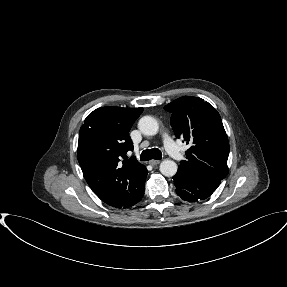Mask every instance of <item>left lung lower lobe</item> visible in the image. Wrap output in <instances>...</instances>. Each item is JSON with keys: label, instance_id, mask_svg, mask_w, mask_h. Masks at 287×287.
<instances>
[{"label": "left lung lower lobe", "instance_id": "left-lung-lower-lobe-1", "mask_svg": "<svg viewBox=\"0 0 287 287\" xmlns=\"http://www.w3.org/2000/svg\"><path fill=\"white\" fill-rule=\"evenodd\" d=\"M173 179L177 195L189 202L208 198L221 183L220 181L193 180L178 171Z\"/></svg>", "mask_w": 287, "mask_h": 287}]
</instances>
